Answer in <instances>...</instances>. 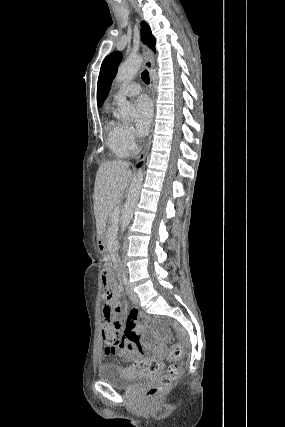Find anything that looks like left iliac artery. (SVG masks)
Wrapping results in <instances>:
<instances>
[{
  "mask_svg": "<svg viewBox=\"0 0 285 427\" xmlns=\"http://www.w3.org/2000/svg\"><path fill=\"white\" fill-rule=\"evenodd\" d=\"M122 282H123V284H124L125 286H128V285H129V282H128V280H127V278H126L125 276H123V277H122Z\"/></svg>",
  "mask_w": 285,
  "mask_h": 427,
  "instance_id": "obj_1",
  "label": "left iliac artery"
}]
</instances>
